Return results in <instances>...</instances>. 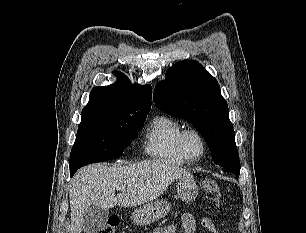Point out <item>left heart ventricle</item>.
I'll return each mask as SVG.
<instances>
[{"mask_svg": "<svg viewBox=\"0 0 306 233\" xmlns=\"http://www.w3.org/2000/svg\"><path fill=\"white\" fill-rule=\"evenodd\" d=\"M186 149L190 156L196 157L201 152V143L194 135L188 136L186 140Z\"/></svg>", "mask_w": 306, "mask_h": 233, "instance_id": "1", "label": "left heart ventricle"}]
</instances>
